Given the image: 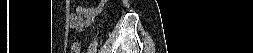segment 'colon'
Segmentation results:
<instances>
[{
	"instance_id": "1",
	"label": "colon",
	"mask_w": 253,
	"mask_h": 53,
	"mask_svg": "<svg viewBox=\"0 0 253 53\" xmlns=\"http://www.w3.org/2000/svg\"><path fill=\"white\" fill-rule=\"evenodd\" d=\"M72 53H80L81 51V42L74 41L71 46Z\"/></svg>"
}]
</instances>
